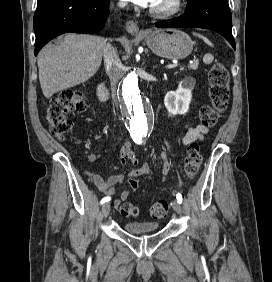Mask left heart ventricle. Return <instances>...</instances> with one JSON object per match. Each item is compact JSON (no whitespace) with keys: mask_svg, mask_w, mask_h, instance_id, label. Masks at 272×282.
<instances>
[{"mask_svg":"<svg viewBox=\"0 0 272 282\" xmlns=\"http://www.w3.org/2000/svg\"><path fill=\"white\" fill-rule=\"evenodd\" d=\"M175 1L176 0H154L150 8L160 11L169 10L174 7Z\"/></svg>","mask_w":272,"mask_h":282,"instance_id":"1","label":"left heart ventricle"}]
</instances>
